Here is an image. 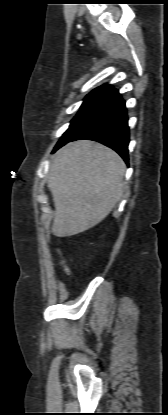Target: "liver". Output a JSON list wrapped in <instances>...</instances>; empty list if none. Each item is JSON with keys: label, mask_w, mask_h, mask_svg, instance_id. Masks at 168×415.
<instances>
[{"label": "liver", "mask_w": 168, "mask_h": 415, "mask_svg": "<svg viewBox=\"0 0 168 415\" xmlns=\"http://www.w3.org/2000/svg\"><path fill=\"white\" fill-rule=\"evenodd\" d=\"M125 171L115 151L94 141L57 151L47 182L55 207L52 234L69 237L101 222L121 198Z\"/></svg>", "instance_id": "liver-1"}]
</instances>
